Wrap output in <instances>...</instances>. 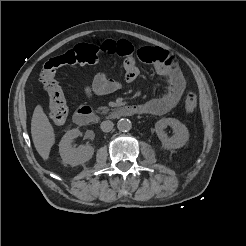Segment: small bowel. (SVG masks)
<instances>
[{
  "label": "small bowel",
  "instance_id": "1",
  "mask_svg": "<svg viewBox=\"0 0 246 246\" xmlns=\"http://www.w3.org/2000/svg\"><path fill=\"white\" fill-rule=\"evenodd\" d=\"M89 46L95 49L97 53L122 56L127 83L134 82L140 74L136 58L152 64L155 72L165 80L166 89L161 97L152 98L139 104L141 114L163 115L178 104L185 91L186 83L178 59L170 52L156 47H143L135 50L129 41L115 39H106L99 44ZM120 87L121 82L106 73H98L92 82L83 85L84 92L90 99L113 93Z\"/></svg>",
  "mask_w": 246,
  "mask_h": 246
}]
</instances>
